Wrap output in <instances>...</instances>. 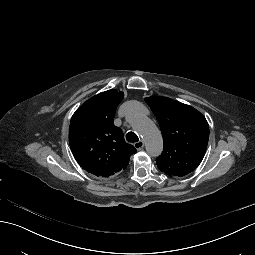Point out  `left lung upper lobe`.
<instances>
[{
    "mask_svg": "<svg viewBox=\"0 0 255 255\" xmlns=\"http://www.w3.org/2000/svg\"><path fill=\"white\" fill-rule=\"evenodd\" d=\"M156 116L164 141V151L156 163L170 177L194 171L202 161L209 139L205 117L193 107L165 97L145 98Z\"/></svg>",
    "mask_w": 255,
    "mask_h": 255,
    "instance_id": "left-lung-upper-lobe-1",
    "label": "left lung upper lobe"
}]
</instances>
